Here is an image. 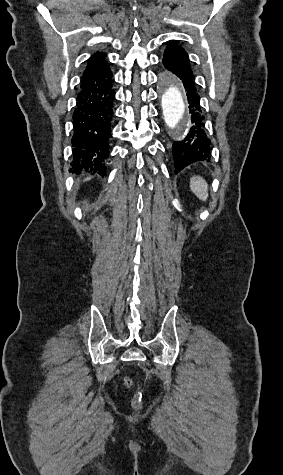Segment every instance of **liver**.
<instances>
[{"mask_svg": "<svg viewBox=\"0 0 283 475\" xmlns=\"http://www.w3.org/2000/svg\"><path fill=\"white\" fill-rule=\"evenodd\" d=\"M87 180H90V178H86L85 182H87Z\"/></svg>", "mask_w": 283, "mask_h": 475, "instance_id": "liver-1", "label": "liver"}]
</instances>
